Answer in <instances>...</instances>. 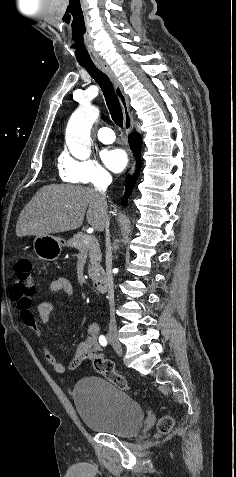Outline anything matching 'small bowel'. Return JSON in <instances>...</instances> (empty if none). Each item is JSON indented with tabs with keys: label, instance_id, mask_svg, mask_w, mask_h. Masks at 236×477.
<instances>
[{
	"label": "small bowel",
	"instance_id": "obj_1",
	"mask_svg": "<svg viewBox=\"0 0 236 477\" xmlns=\"http://www.w3.org/2000/svg\"><path fill=\"white\" fill-rule=\"evenodd\" d=\"M58 292H64L67 296L74 294V288L69 279L60 276L49 283L47 293L56 294ZM54 309L55 306L51 301H42L37 306L35 314L31 308L24 310L19 309V314L28 327L37 330L39 323L46 324L49 321ZM99 331L100 327L98 323L92 322L88 324L85 340L73 349L71 359L67 364L60 362L52 349L49 346H45L43 354L46 361L52 366L56 373L70 375V370L77 368L85 361L93 360L94 357L100 356L102 347L98 339Z\"/></svg>",
	"mask_w": 236,
	"mask_h": 477
}]
</instances>
